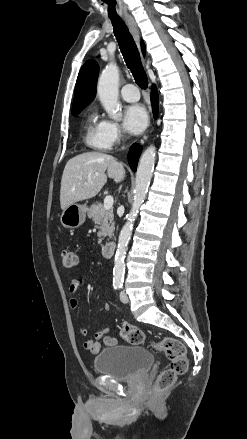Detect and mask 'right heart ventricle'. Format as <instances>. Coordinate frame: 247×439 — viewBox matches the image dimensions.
Returning <instances> with one entry per match:
<instances>
[{"label":"right heart ventricle","mask_w":247,"mask_h":439,"mask_svg":"<svg viewBox=\"0 0 247 439\" xmlns=\"http://www.w3.org/2000/svg\"><path fill=\"white\" fill-rule=\"evenodd\" d=\"M105 121L96 112H90L84 123L83 141L91 149L105 151L111 145L104 132Z\"/></svg>","instance_id":"1"}]
</instances>
